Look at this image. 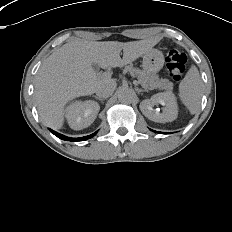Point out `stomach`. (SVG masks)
<instances>
[{
	"label": "stomach",
	"mask_w": 232,
	"mask_h": 232,
	"mask_svg": "<svg viewBox=\"0 0 232 232\" xmlns=\"http://www.w3.org/2000/svg\"><path fill=\"white\" fill-rule=\"evenodd\" d=\"M164 55L161 51L151 49L143 56V68L146 72H155L162 68Z\"/></svg>",
	"instance_id": "stomach-1"
}]
</instances>
